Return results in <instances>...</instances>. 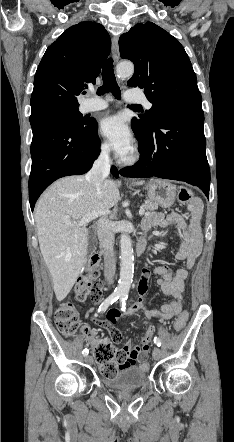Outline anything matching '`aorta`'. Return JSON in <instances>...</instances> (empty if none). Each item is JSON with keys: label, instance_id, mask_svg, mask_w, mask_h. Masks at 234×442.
Listing matches in <instances>:
<instances>
[{"label": "aorta", "instance_id": "aorta-1", "mask_svg": "<svg viewBox=\"0 0 234 442\" xmlns=\"http://www.w3.org/2000/svg\"><path fill=\"white\" fill-rule=\"evenodd\" d=\"M117 76L119 78H128L134 73V65L124 62L117 65ZM134 273V255L132 241L127 233L120 236V279L116 288L117 293L127 295L133 279Z\"/></svg>", "mask_w": 234, "mask_h": 442}]
</instances>
